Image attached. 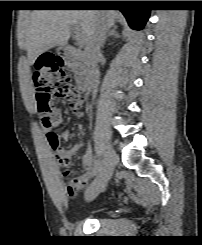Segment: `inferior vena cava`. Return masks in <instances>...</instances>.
I'll list each match as a JSON object with an SVG mask.
<instances>
[{"label": "inferior vena cava", "instance_id": "602c4592", "mask_svg": "<svg viewBox=\"0 0 202 245\" xmlns=\"http://www.w3.org/2000/svg\"><path fill=\"white\" fill-rule=\"evenodd\" d=\"M109 29L107 21L103 17H99L95 28L89 37L85 48V56L91 65L90 74L93 80V95H96L97 85L99 84L100 72L97 66V60L102 56L101 47L106 38Z\"/></svg>", "mask_w": 202, "mask_h": 245}]
</instances>
